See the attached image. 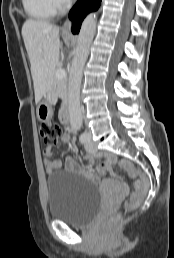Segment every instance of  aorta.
<instances>
[{
  "label": "aorta",
  "instance_id": "obj_1",
  "mask_svg": "<svg viewBox=\"0 0 174 258\" xmlns=\"http://www.w3.org/2000/svg\"><path fill=\"white\" fill-rule=\"evenodd\" d=\"M96 32V15L91 13L83 21L77 41L75 56L72 60L69 85L68 104L70 124L72 129L79 130L82 127V111L80 106V87L82 71L89 54V48Z\"/></svg>",
  "mask_w": 174,
  "mask_h": 258
}]
</instances>
